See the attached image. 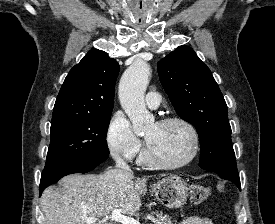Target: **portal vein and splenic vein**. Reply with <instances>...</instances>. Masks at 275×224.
<instances>
[{"label":"portal vein and splenic vein","mask_w":275,"mask_h":224,"mask_svg":"<svg viewBox=\"0 0 275 224\" xmlns=\"http://www.w3.org/2000/svg\"><path fill=\"white\" fill-rule=\"evenodd\" d=\"M105 219H109L111 221H115V222H118V223H121V224H140L139 221H137V220H135L131 217L122 215L121 212L118 209H115L111 213V215H106ZM84 220L87 221L88 224H94L98 220V218L91 217V218H86Z\"/></svg>","instance_id":"obj_1"}]
</instances>
